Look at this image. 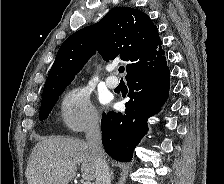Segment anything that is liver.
Masks as SVG:
<instances>
[{"mask_svg": "<svg viewBox=\"0 0 224 184\" xmlns=\"http://www.w3.org/2000/svg\"><path fill=\"white\" fill-rule=\"evenodd\" d=\"M79 165L85 181L96 179V161L87 142L75 137L43 138L29 157L27 183L69 184Z\"/></svg>", "mask_w": 224, "mask_h": 184, "instance_id": "obj_1", "label": "liver"}]
</instances>
